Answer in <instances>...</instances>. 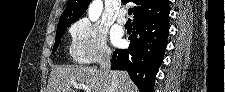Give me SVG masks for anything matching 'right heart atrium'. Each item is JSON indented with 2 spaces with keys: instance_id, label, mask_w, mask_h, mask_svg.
I'll use <instances>...</instances> for the list:
<instances>
[{
  "instance_id": "obj_1",
  "label": "right heart atrium",
  "mask_w": 225,
  "mask_h": 92,
  "mask_svg": "<svg viewBox=\"0 0 225 92\" xmlns=\"http://www.w3.org/2000/svg\"><path fill=\"white\" fill-rule=\"evenodd\" d=\"M70 35L71 53L76 62L89 65L110 55L107 31L98 23L80 19L71 26Z\"/></svg>"
}]
</instances>
